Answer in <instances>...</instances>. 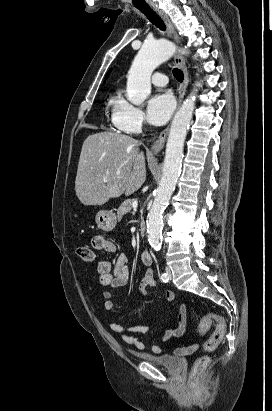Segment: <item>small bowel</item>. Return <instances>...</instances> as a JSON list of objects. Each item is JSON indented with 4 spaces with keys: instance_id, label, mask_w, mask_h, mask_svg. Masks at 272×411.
Here are the masks:
<instances>
[{
    "instance_id": "c3829d8e",
    "label": "small bowel",
    "mask_w": 272,
    "mask_h": 411,
    "mask_svg": "<svg viewBox=\"0 0 272 411\" xmlns=\"http://www.w3.org/2000/svg\"><path fill=\"white\" fill-rule=\"evenodd\" d=\"M92 246L98 251L111 254H115L118 251L116 244L113 241L108 240L102 234H97L92 238ZM128 262V257L125 254H118L114 262L103 260L98 263L99 283L105 288L103 297L105 299L104 309L106 312H111L114 308L112 289L125 287L129 283L130 271ZM156 287L157 282L154 278L153 270L148 267L139 284L140 293L143 297H147L148 289H154ZM164 295L168 302H174L176 299V295L172 290H166ZM177 322L178 325L176 328L162 332L161 339L163 341L180 337L185 333L187 325V307L184 304L179 308ZM109 328L116 333L124 343L133 346L137 350H143L145 348L146 343L136 337L135 334L148 333L150 330L149 325H136L126 328L116 322H109ZM147 344L154 353L158 354L161 352V348L154 342L153 338H149ZM196 349L197 345H190L177 348L175 353L177 355H186L194 352Z\"/></svg>"
}]
</instances>
